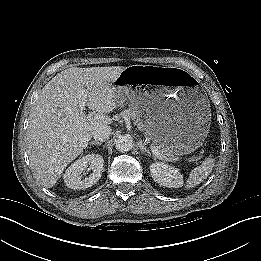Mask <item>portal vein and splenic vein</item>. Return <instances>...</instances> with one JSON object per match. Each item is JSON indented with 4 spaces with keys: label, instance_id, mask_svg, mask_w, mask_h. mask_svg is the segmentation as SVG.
I'll use <instances>...</instances> for the list:
<instances>
[{
    "label": "portal vein and splenic vein",
    "instance_id": "obj_1",
    "mask_svg": "<svg viewBox=\"0 0 261 261\" xmlns=\"http://www.w3.org/2000/svg\"><path fill=\"white\" fill-rule=\"evenodd\" d=\"M84 106H85V102H82V103H81V108H84ZM151 150H152L153 155H154L156 158H158V159H160V160H163V159L165 158V156L162 155V153H161V152L158 150V148H156L155 146H151Z\"/></svg>",
    "mask_w": 261,
    "mask_h": 261
}]
</instances>
